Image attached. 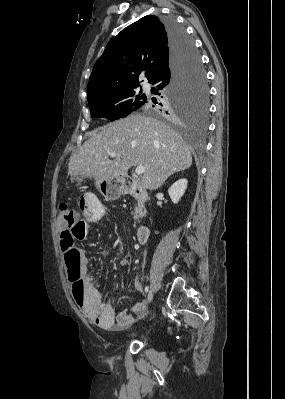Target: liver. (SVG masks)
Segmentation results:
<instances>
[{
  "label": "liver",
  "mask_w": 285,
  "mask_h": 399,
  "mask_svg": "<svg viewBox=\"0 0 285 399\" xmlns=\"http://www.w3.org/2000/svg\"><path fill=\"white\" fill-rule=\"evenodd\" d=\"M192 149L165 123L141 114L109 123L88 139L68 164L70 176L115 178L145 166L141 187L156 190L172 174L192 165ZM111 153L116 157L109 159Z\"/></svg>",
  "instance_id": "6515ba94"
}]
</instances>
